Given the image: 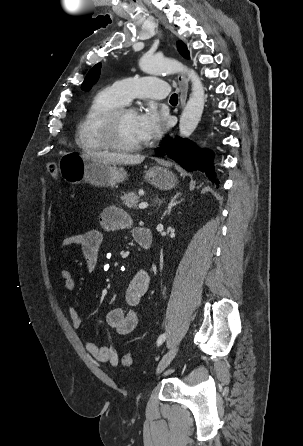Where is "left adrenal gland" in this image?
<instances>
[{"label": "left adrenal gland", "instance_id": "1", "mask_svg": "<svg viewBox=\"0 0 303 446\" xmlns=\"http://www.w3.org/2000/svg\"><path fill=\"white\" fill-rule=\"evenodd\" d=\"M181 192H177L172 198H171V200H170V202H169V204H168V207H167V210L165 211V214H167V215H169L170 214V212H171V209H172V207L173 206H175V205H177V204H179L182 200H177L180 196H181ZM163 201L162 200H159V202H158V206H160V204L162 203Z\"/></svg>", "mask_w": 303, "mask_h": 446}]
</instances>
